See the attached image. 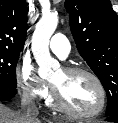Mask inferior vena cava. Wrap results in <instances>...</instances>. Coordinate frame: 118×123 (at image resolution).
<instances>
[{
  "instance_id": "1",
  "label": "inferior vena cava",
  "mask_w": 118,
  "mask_h": 123,
  "mask_svg": "<svg viewBox=\"0 0 118 123\" xmlns=\"http://www.w3.org/2000/svg\"><path fill=\"white\" fill-rule=\"evenodd\" d=\"M21 114L28 123L37 120L39 114L38 108L29 92H23L21 99Z\"/></svg>"
}]
</instances>
